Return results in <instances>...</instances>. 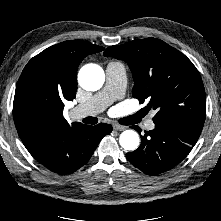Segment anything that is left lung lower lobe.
I'll return each mask as SVG.
<instances>
[{
    "instance_id": "1",
    "label": "left lung lower lobe",
    "mask_w": 221,
    "mask_h": 221,
    "mask_svg": "<svg viewBox=\"0 0 221 221\" xmlns=\"http://www.w3.org/2000/svg\"><path fill=\"white\" fill-rule=\"evenodd\" d=\"M139 133L141 129L133 126ZM200 133L181 127L155 124L145 131L139 148L127 153L128 161L148 175H159L178 165L196 144Z\"/></svg>"
}]
</instances>
